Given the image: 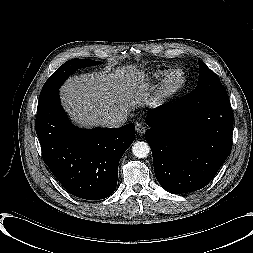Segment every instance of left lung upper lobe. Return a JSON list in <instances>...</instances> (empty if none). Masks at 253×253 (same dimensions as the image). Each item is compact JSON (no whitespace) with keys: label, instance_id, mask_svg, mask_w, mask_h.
<instances>
[{"label":"left lung upper lobe","instance_id":"1","mask_svg":"<svg viewBox=\"0 0 253 253\" xmlns=\"http://www.w3.org/2000/svg\"><path fill=\"white\" fill-rule=\"evenodd\" d=\"M199 63V80L196 88L191 92L199 100H206L209 98L217 89L223 87L217 75L210 70L201 60Z\"/></svg>","mask_w":253,"mask_h":253}]
</instances>
